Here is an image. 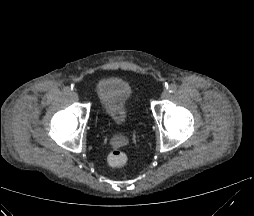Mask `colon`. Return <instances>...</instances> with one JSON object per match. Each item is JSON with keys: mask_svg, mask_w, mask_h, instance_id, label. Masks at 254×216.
Segmentation results:
<instances>
[{"mask_svg": "<svg viewBox=\"0 0 254 216\" xmlns=\"http://www.w3.org/2000/svg\"><path fill=\"white\" fill-rule=\"evenodd\" d=\"M107 161L112 167H122L126 163L127 156L118 141L113 143V147L108 155Z\"/></svg>", "mask_w": 254, "mask_h": 216, "instance_id": "5ec220e1", "label": "colon"}]
</instances>
